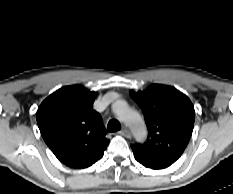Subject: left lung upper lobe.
Returning <instances> with one entry per match:
<instances>
[{"label":"left lung upper lobe","mask_w":233,"mask_h":194,"mask_svg":"<svg viewBox=\"0 0 233 194\" xmlns=\"http://www.w3.org/2000/svg\"><path fill=\"white\" fill-rule=\"evenodd\" d=\"M131 97L141 107L148 140L132 145L135 155L174 163L185 150L193 131L195 111L189 98L174 87L153 84Z\"/></svg>","instance_id":"left-lung-upper-lobe-1"}]
</instances>
